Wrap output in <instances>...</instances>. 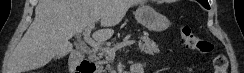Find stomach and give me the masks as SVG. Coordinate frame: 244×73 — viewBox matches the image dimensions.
Segmentation results:
<instances>
[{
    "label": "stomach",
    "mask_w": 244,
    "mask_h": 73,
    "mask_svg": "<svg viewBox=\"0 0 244 73\" xmlns=\"http://www.w3.org/2000/svg\"><path fill=\"white\" fill-rule=\"evenodd\" d=\"M135 18L145 28L154 32L165 31L170 26L169 19L149 5L139 6L135 11Z\"/></svg>",
    "instance_id": "0dacf381"
}]
</instances>
